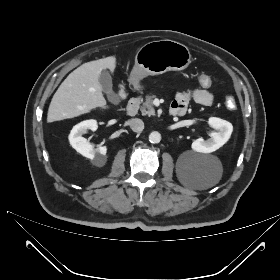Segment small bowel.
Masks as SVG:
<instances>
[{
	"instance_id": "small-bowel-1",
	"label": "small bowel",
	"mask_w": 280,
	"mask_h": 280,
	"mask_svg": "<svg viewBox=\"0 0 280 280\" xmlns=\"http://www.w3.org/2000/svg\"><path fill=\"white\" fill-rule=\"evenodd\" d=\"M191 101L200 105L209 106L214 102V95L209 88H197L183 94H178L172 102V107L177 109L179 114L182 115L186 112Z\"/></svg>"
}]
</instances>
